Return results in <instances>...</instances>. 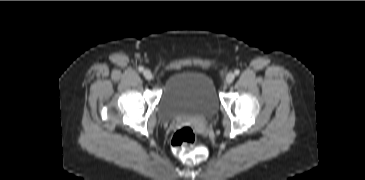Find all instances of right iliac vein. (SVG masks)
<instances>
[{
    "instance_id": "1",
    "label": "right iliac vein",
    "mask_w": 365,
    "mask_h": 180,
    "mask_svg": "<svg viewBox=\"0 0 365 180\" xmlns=\"http://www.w3.org/2000/svg\"><path fill=\"white\" fill-rule=\"evenodd\" d=\"M143 75L147 80H151L153 77L152 72L148 69L144 70Z\"/></svg>"
}]
</instances>
